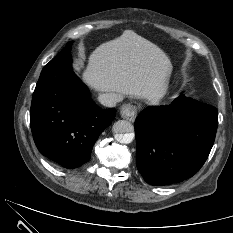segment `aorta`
Wrapping results in <instances>:
<instances>
[{"label":"aorta","instance_id":"obj_1","mask_svg":"<svg viewBox=\"0 0 233 233\" xmlns=\"http://www.w3.org/2000/svg\"><path fill=\"white\" fill-rule=\"evenodd\" d=\"M133 131H134L133 125L125 120H119L115 122L113 125L115 140L122 144H128L133 140L134 138Z\"/></svg>","mask_w":233,"mask_h":233}]
</instances>
